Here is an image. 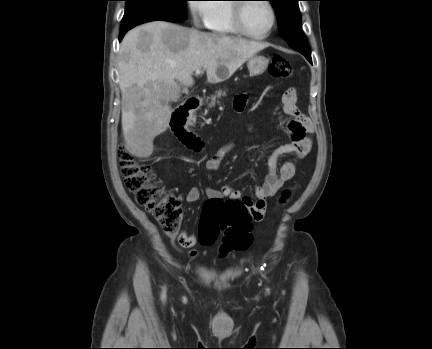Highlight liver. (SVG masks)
Segmentation results:
<instances>
[{
  "mask_svg": "<svg viewBox=\"0 0 432 349\" xmlns=\"http://www.w3.org/2000/svg\"><path fill=\"white\" fill-rule=\"evenodd\" d=\"M266 47L267 43L164 21L130 30L120 44L118 65L126 147L137 157L151 155L154 138L171 119L169 101L179 97L177 82L192 86L193 72L205 69L208 82L218 83ZM221 67L225 76L218 73Z\"/></svg>",
  "mask_w": 432,
  "mask_h": 349,
  "instance_id": "obj_1",
  "label": "liver"
}]
</instances>
